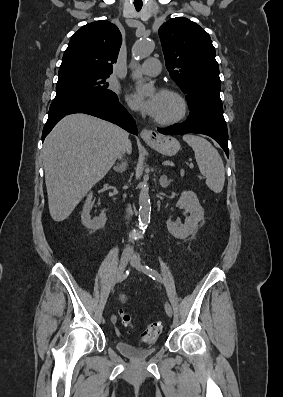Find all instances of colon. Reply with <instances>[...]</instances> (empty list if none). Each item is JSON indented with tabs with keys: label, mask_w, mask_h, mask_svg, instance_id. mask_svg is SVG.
Returning <instances> with one entry per match:
<instances>
[{
	"label": "colon",
	"mask_w": 283,
	"mask_h": 397,
	"mask_svg": "<svg viewBox=\"0 0 283 397\" xmlns=\"http://www.w3.org/2000/svg\"><path fill=\"white\" fill-rule=\"evenodd\" d=\"M122 323L125 326H130L131 316L128 313L121 314ZM163 330L161 322L150 323L141 336V341L144 344H151L157 340Z\"/></svg>",
	"instance_id": "colon-1"
}]
</instances>
